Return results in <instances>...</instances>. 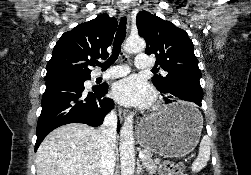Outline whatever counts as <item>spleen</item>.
I'll return each mask as SVG.
<instances>
[{
	"instance_id": "obj_1",
	"label": "spleen",
	"mask_w": 251,
	"mask_h": 175,
	"mask_svg": "<svg viewBox=\"0 0 251 175\" xmlns=\"http://www.w3.org/2000/svg\"><path fill=\"white\" fill-rule=\"evenodd\" d=\"M196 111L199 115H201L198 109H196ZM210 145L211 139L209 135H204L200 141L199 153L191 165V171H194V173H196V171H201L202 167L207 165V161L210 159Z\"/></svg>"
}]
</instances>
